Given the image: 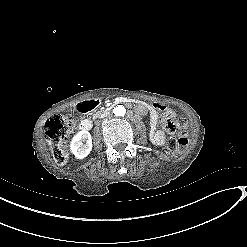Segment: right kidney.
I'll use <instances>...</instances> for the list:
<instances>
[{
  "label": "right kidney",
  "mask_w": 247,
  "mask_h": 247,
  "mask_svg": "<svg viewBox=\"0 0 247 247\" xmlns=\"http://www.w3.org/2000/svg\"><path fill=\"white\" fill-rule=\"evenodd\" d=\"M84 140H86L85 144H83ZM69 147L71 154H73L76 159L83 160L90 154L93 148L90 132L87 130L79 131L73 136Z\"/></svg>",
  "instance_id": "1"
}]
</instances>
